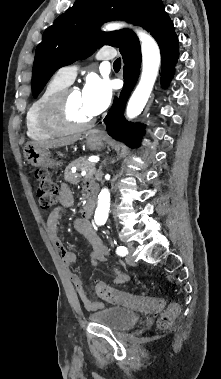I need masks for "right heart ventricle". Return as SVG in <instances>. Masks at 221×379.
<instances>
[{"label": "right heart ventricle", "instance_id": "1", "mask_svg": "<svg viewBox=\"0 0 221 379\" xmlns=\"http://www.w3.org/2000/svg\"><path fill=\"white\" fill-rule=\"evenodd\" d=\"M69 83L55 75L44 87L39 96L32 102L26 113V132L33 140H45L51 138L54 133L46 130L41 123V112L44 105L55 94L68 87Z\"/></svg>", "mask_w": 221, "mask_h": 379}]
</instances>
